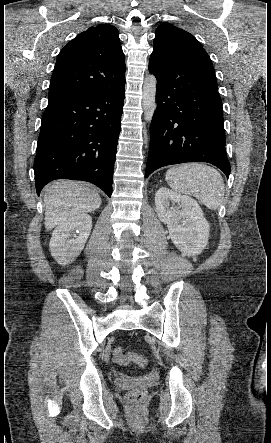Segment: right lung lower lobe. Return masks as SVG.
<instances>
[{"label":"right lung lower lobe","instance_id":"1","mask_svg":"<svg viewBox=\"0 0 271 443\" xmlns=\"http://www.w3.org/2000/svg\"><path fill=\"white\" fill-rule=\"evenodd\" d=\"M124 84L49 100L34 161L38 195L52 180L73 179L111 196Z\"/></svg>","mask_w":271,"mask_h":443}]
</instances>
